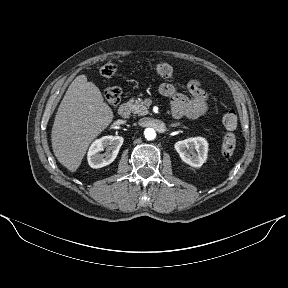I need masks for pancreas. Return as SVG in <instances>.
Here are the masks:
<instances>
[{"mask_svg": "<svg viewBox=\"0 0 288 288\" xmlns=\"http://www.w3.org/2000/svg\"><path fill=\"white\" fill-rule=\"evenodd\" d=\"M128 104L130 105L132 112L134 114L141 115V116L148 114V108L144 105L141 99H137V100L130 99Z\"/></svg>", "mask_w": 288, "mask_h": 288, "instance_id": "1", "label": "pancreas"}]
</instances>
